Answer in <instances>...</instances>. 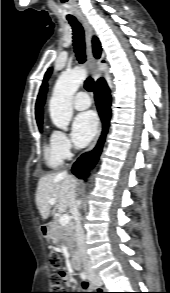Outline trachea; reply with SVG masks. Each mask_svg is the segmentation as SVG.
Returning a JSON list of instances; mask_svg holds the SVG:
<instances>
[{"mask_svg":"<svg viewBox=\"0 0 170 293\" xmlns=\"http://www.w3.org/2000/svg\"><path fill=\"white\" fill-rule=\"evenodd\" d=\"M68 21L73 30V45L74 51L79 63L83 64L86 61L85 56V41L84 30L81 24L76 18H68ZM84 87L87 91L93 92L95 89L94 81L91 77H88L84 82Z\"/></svg>","mask_w":170,"mask_h":293,"instance_id":"3493384b","label":"trachea"}]
</instances>
